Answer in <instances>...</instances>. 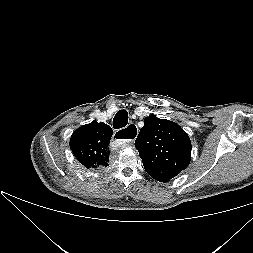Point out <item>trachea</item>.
I'll use <instances>...</instances> for the list:
<instances>
[{"instance_id": "obj_1", "label": "trachea", "mask_w": 253, "mask_h": 253, "mask_svg": "<svg viewBox=\"0 0 253 253\" xmlns=\"http://www.w3.org/2000/svg\"><path fill=\"white\" fill-rule=\"evenodd\" d=\"M128 123V113L126 110H120L117 112L113 119V127L115 129L123 128Z\"/></svg>"}]
</instances>
